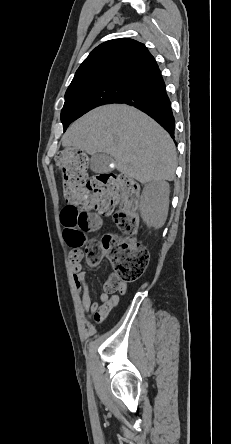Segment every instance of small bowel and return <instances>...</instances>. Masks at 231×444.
Instances as JSON below:
<instances>
[{
    "mask_svg": "<svg viewBox=\"0 0 231 444\" xmlns=\"http://www.w3.org/2000/svg\"><path fill=\"white\" fill-rule=\"evenodd\" d=\"M64 238L67 244L74 248L71 253V264L74 271V281L77 292L81 294V307L85 312H90L91 319L100 323L106 319L110 310L119 304L117 295L102 293L100 300L92 301L89 293V287L85 281L86 272L81 268L82 253L79 247L83 244L84 234L77 230L64 228ZM120 293L126 291V284L120 286Z\"/></svg>",
    "mask_w": 231,
    "mask_h": 444,
    "instance_id": "c3829d8e",
    "label": "small bowel"
}]
</instances>
